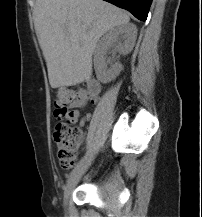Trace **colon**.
<instances>
[{
  "label": "colon",
  "mask_w": 202,
  "mask_h": 217,
  "mask_svg": "<svg viewBox=\"0 0 202 217\" xmlns=\"http://www.w3.org/2000/svg\"><path fill=\"white\" fill-rule=\"evenodd\" d=\"M84 95L74 89L59 88L55 99V116L58 122L54 128V139L57 144V155L64 169L75 166L76 154L83 141L84 132L69 120L70 108L82 101Z\"/></svg>",
  "instance_id": "obj_1"
}]
</instances>
